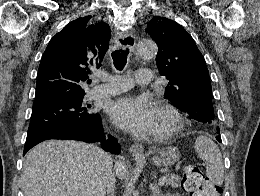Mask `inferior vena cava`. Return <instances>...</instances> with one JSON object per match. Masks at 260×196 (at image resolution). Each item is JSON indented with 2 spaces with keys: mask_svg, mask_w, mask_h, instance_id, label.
I'll return each instance as SVG.
<instances>
[{
  "mask_svg": "<svg viewBox=\"0 0 260 196\" xmlns=\"http://www.w3.org/2000/svg\"><path fill=\"white\" fill-rule=\"evenodd\" d=\"M105 164L108 166V176H107V182L105 184L108 192V196H114V190H115V174L113 172V164H112V158L110 156H105L104 158ZM97 196H105V194H102V190H98Z\"/></svg>",
  "mask_w": 260,
  "mask_h": 196,
  "instance_id": "obj_1",
  "label": "inferior vena cava"
}]
</instances>
